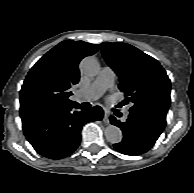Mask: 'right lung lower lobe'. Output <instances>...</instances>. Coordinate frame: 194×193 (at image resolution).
I'll use <instances>...</instances> for the list:
<instances>
[{
	"label": "right lung lower lobe",
	"instance_id": "98d812e1",
	"mask_svg": "<svg viewBox=\"0 0 194 193\" xmlns=\"http://www.w3.org/2000/svg\"><path fill=\"white\" fill-rule=\"evenodd\" d=\"M73 108L80 106L74 103L22 118L24 134L37 153L50 159L70 155L80 144L82 126L103 118V110L99 106L80 112L72 111Z\"/></svg>",
	"mask_w": 194,
	"mask_h": 193
}]
</instances>
